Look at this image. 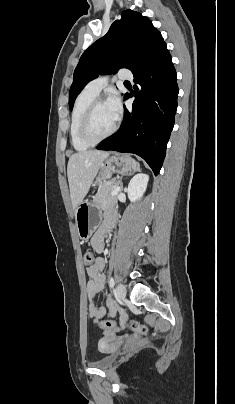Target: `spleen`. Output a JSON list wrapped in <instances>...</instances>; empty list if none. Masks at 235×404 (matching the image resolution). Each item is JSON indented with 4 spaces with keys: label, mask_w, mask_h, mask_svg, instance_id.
Returning a JSON list of instances; mask_svg holds the SVG:
<instances>
[{
    "label": "spleen",
    "mask_w": 235,
    "mask_h": 404,
    "mask_svg": "<svg viewBox=\"0 0 235 404\" xmlns=\"http://www.w3.org/2000/svg\"><path fill=\"white\" fill-rule=\"evenodd\" d=\"M133 162H134V168H138V167H139V164H138L136 161H134V160H133Z\"/></svg>",
    "instance_id": "obj_1"
}]
</instances>
